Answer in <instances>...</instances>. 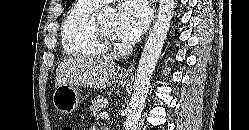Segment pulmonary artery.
<instances>
[{"mask_svg":"<svg viewBox=\"0 0 249 130\" xmlns=\"http://www.w3.org/2000/svg\"><path fill=\"white\" fill-rule=\"evenodd\" d=\"M92 1L102 5V4L108 3V2L113 1V0H92Z\"/></svg>","mask_w":249,"mask_h":130,"instance_id":"pulmonary-artery-1","label":"pulmonary artery"}]
</instances>
